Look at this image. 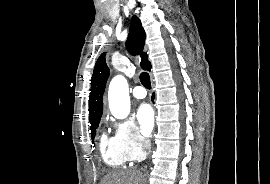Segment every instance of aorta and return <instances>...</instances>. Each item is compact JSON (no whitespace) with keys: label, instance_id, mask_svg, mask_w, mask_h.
<instances>
[{"label":"aorta","instance_id":"1","mask_svg":"<svg viewBox=\"0 0 270 184\" xmlns=\"http://www.w3.org/2000/svg\"><path fill=\"white\" fill-rule=\"evenodd\" d=\"M109 108L117 119H124L130 112V98L127 80L122 75L115 76L108 90Z\"/></svg>","mask_w":270,"mask_h":184}]
</instances>
